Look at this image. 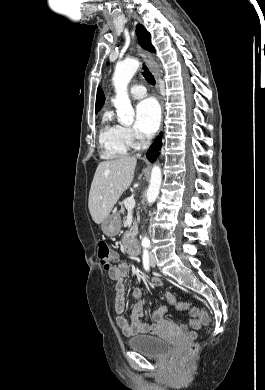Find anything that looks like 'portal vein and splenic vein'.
Segmentation results:
<instances>
[{
	"label": "portal vein and splenic vein",
	"instance_id": "1",
	"mask_svg": "<svg viewBox=\"0 0 265 390\" xmlns=\"http://www.w3.org/2000/svg\"><path fill=\"white\" fill-rule=\"evenodd\" d=\"M124 205L127 209H133L135 207V199L133 197H128L124 201Z\"/></svg>",
	"mask_w": 265,
	"mask_h": 390
}]
</instances>
